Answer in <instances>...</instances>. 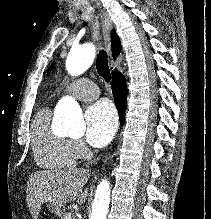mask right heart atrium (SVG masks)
<instances>
[{"instance_id": "obj_1", "label": "right heart atrium", "mask_w": 211, "mask_h": 219, "mask_svg": "<svg viewBox=\"0 0 211 219\" xmlns=\"http://www.w3.org/2000/svg\"><path fill=\"white\" fill-rule=\"evenodd\" d=\"M71 145L78 158H85L88 156L89 151L82 141L72 140Z\"/></svg>"}]
</instances>
